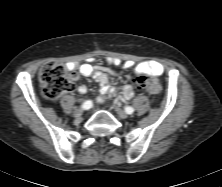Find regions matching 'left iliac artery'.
Masks as SVG:
<instances>
[{"instance_id": "44dca946", "label": "left iliac artery", "mask_w": 222, "mask_h": 187, "mask_svg": "<svg viewBox=\"0 0 222 187\" xmlns=\"http://www.w3.org/2000/svg\"><path fill=\"white\" fill-rule=\"evenodd\" d=\"M125 111L126 113L128 114H132L134 112V108L133 107H130V106H127L125 107Z\"/></svg>"}]
</instances>
